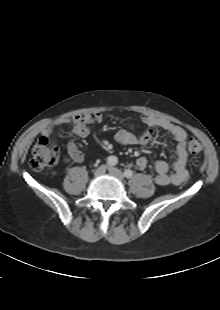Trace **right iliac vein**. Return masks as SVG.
Returning <instances> with one entry per match:
<instances>
[{
  "label": "right iliac vein",
  "mask_w": 220,
  "mask_h": 310,
  "mask_svg": "<svg viewBox=\"0 0 220 310\" xmlns=\"http://www.w3.org/2000/svg\"><path fill=\"white\" fill-rule=\"evenodd\" d=\"M107 166L106 165H101L100 167H98L96 169V171L94 172L95 176H101L106 172Z\"/></svg>",
  "instance_id": "right-iliac-vein-1"
}]
</instances>
